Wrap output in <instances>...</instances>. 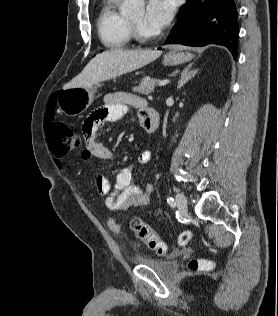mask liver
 <instances>
[{
	"label": "liver",
	"instance_id": "1",
	"mask_svg": "<svg viewBox=\"0 0 278 316\" xmlns=\"http://www.w3.org/2000/svg\"><path fill=\"white\" fill-rule=\"evenodd\" d=\"M160 50L114 49L97 54L83 71L64 85L63 89L90 87L102 81L132 72L151 63L161 55Z\"/></svg>",
	"mask_w": 278,
	"mask_h": 316
}]
</instances>
